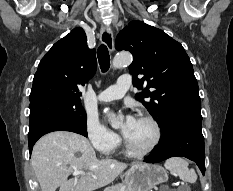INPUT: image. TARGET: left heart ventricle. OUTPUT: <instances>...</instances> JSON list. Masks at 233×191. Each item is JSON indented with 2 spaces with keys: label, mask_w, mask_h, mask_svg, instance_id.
<instances>
[{
  "label": "left heart ventricle",
  "mask_w": 233,
  "mask_h": 191,
  "mask_svg": "<svg viewBox=\"0 0 233 191\" xmlns=\"http://www.w3.org/2000/svg\"><path fill=\"white\" fill-rule=\"evenodd\" d=\"M125 137L134 146L144 149L151 145L155 137V131L152 124L143 119H136L130 128L122 125Z\"/></svg>",
  "instance_id": "1"
}]
</instances>
